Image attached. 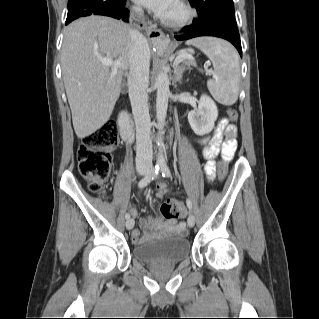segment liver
<instances>
[{
  "mask_svg": "<svg viewBox=\"0 0 319 319\" xmlns=\"http://www.w3.org/2000/svg\"><path fill=\"white\" fill-rule=\"evenodd\" d=\"M130 27L110 17L91 15L71 23L64 32L61 68L78 138L100 129L110 118L129 66ZM100 57L123 66H105Z\"/></svg>",
  "mask_w": 319,
  "mask_h": 319,
  "instance_id": "obj_1",
  "label": "liver"
}]
</instances>
